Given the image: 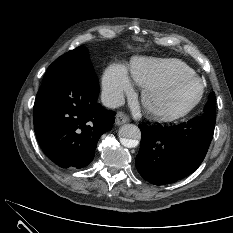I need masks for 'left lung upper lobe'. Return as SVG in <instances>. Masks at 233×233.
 Instances as JSON below:
<instances>
[{
  "mask_svg": "<svg viewBox=\"0 0 233 233\" xmlns=\"http://www.w3.org/2000/svg\"><path fill=\"white\" fill-rule=\"evenodd\" d=\"M203 116L208 118H215V93L211 92L209 94V100L204 107Z\"/></svg>",
  "mask_w": 233,
  "mask_h": 233,
  "instance_id": "1",
  "label": "left lung upper lobe"
}]
</instances>
